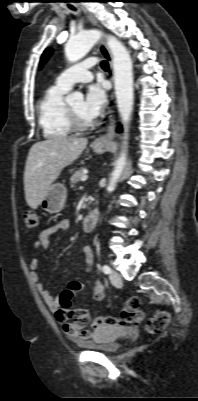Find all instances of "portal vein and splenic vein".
<instances>
[{
  "label": "portal vein and splenic vein",
  "mask_w": 198,
  "mask_h": 401,
  "mask_svg": "<svg viewBox=\"0 0 198 401\" xmlns=\"http://www.w3.org/2000/svg\"><path fill=\"white\" fill-rule=\"evenodd\" d=\"M87 179H88L87 175H84V176L81 177V181H86Z\"/></svg>",
  "instance_id": "18ae733b"
}]
</instances>
